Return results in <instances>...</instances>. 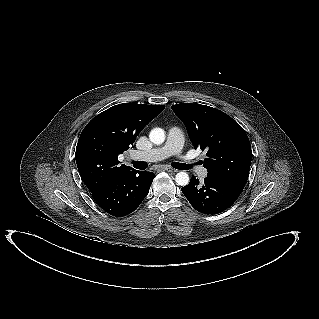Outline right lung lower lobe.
Instances as JSON below:
<instances>
[{"mask_svg":"<svg viewBox=\"0 0 319 319\" xmlns=\"http://www.w3.org/2000/svg\"><path fill=\"white\" fill-rule=\"evenodd\" d=\"M154 173L131 170L92 192L96 203L114 217L133 212L147 196Z\"/></svg>","mask_w":319,"mask_h":319,"instance_id":"obj_1","label":"right lung lower lobe"}]
</instances>
